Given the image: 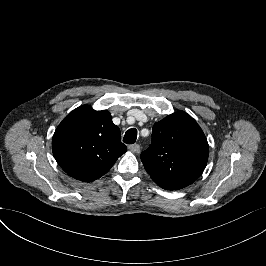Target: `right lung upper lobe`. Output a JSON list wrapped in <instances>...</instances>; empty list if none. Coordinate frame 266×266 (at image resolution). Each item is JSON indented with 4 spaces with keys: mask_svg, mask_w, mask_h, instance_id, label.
I'll return each instance as SVG.
<instances>
[{
    "mask_svg": "<svg viewBox=\"0 0 266 266\" xmlns=\"http://www.w3.org/2000/svg\"><path fill=\"white\" fill-rule=\"evenodd\" d=\"M52 150L67 174L91 182L107 173L127 147L121 143L120 129L107 110L95 111L82 105L59 124Z\"/></svg>",
    "mask_w": 266,
    "mask_h": 266,
    "instance_id": "1",
    "label": "right lung upper lobe"
}]
</instances>
